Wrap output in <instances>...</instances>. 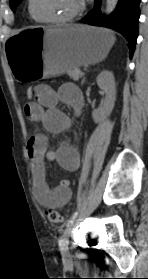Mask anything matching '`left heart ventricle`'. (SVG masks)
<instances>
[{"label": "left heart ventricle", "instance_id": "1", "mask_svg": "<svg viewBox=\"0 0 148 279\" xmlns=\"http://www.w3.org/2000/svg\"><path fill=\"white\" fill-rule=\"evenodd\" d=\"M79 0H34V12L42 18L64 17L77 9Z\"/></svg>", "mask_w": 148, "mask_h": 279}]
</instances>
